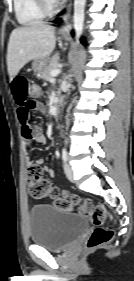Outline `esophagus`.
<instances>
[{
    "mask_svg": "<svg viewBox=\"0 0 134 281\" xmlns=\"http://www.w3.org/2000/svg\"><path fill=\"white\" fill-rule=\"evenodd\" d=\"M71 6H72V3L70 2L67 7V12L62 17L64 24L59 29V32H61V33H67L70 31L71 25L69 22V17H70V12H71Z\"/></svg>",
    "mask_w": 134,
    "mask_h": 281,
    "instance_id": "esophagus-1",
    "label": "esophagus"
}]
</instances>
